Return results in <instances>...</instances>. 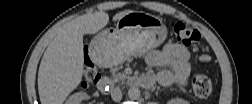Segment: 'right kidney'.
I'll return each instance as SVG.
<instances>
[{
    "label": "right kidney",
    "instance_id": "1",
    "mask_svg": "<svg viewBox=\"0 0 252 104\" xmlns=\"http://www.w3.org/2000/svg\"><path fill=\"white\" fill-rule=\"evenodd\" d=\"M87 99V94L85 92H78L71 95L66 103L67 104H81L82 101Z\"/></svg>",
    "mask_w": 252,
    "mask_h": 104
}]
</instances>
